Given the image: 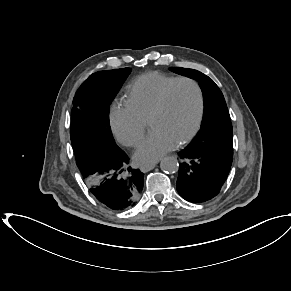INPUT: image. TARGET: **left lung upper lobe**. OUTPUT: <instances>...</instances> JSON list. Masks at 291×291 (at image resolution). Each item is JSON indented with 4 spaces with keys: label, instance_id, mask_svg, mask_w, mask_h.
Masks as SVG:
<instances>
[{
    "label": "left lung upper lobe",
    "instance_id": "obj_1",
    "mask_svg": "<svg viewBox=\"0 0 291 291\" xmlns=\"http://www.w3.org/2000/svg\"><path fill=\"white\" fill-rule=\"evenodd\" d=\"M173 72L195 79L204 97V117L200 131L187 146L212 149L233 156V128L223 94L207 75L187 68L171 67Z\"/></svg>",
    "mask_w": 291,
    "mask_h": 291
}]
</instances>
